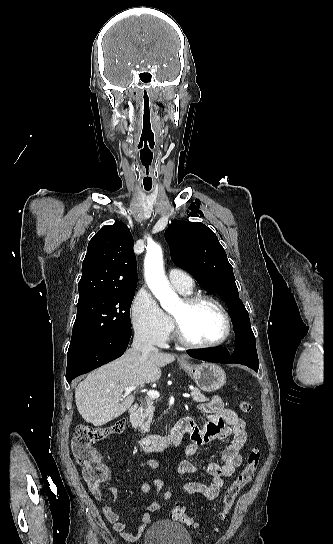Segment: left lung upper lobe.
<instances>
[{"label":"left lung upper lobe","instance_id":"obj_1","mask_svg":"<svg viewBox=\"0 0 333 544\" xmlns=\"http://www.w3.org/2000/svg\"><path fill=\"white\" fill-rule=\"evenodd\" d=\"M165 238L173 262L190 271L205 289L219 292L229 306L231 319L249 320L239 298L232 266L210 228L199 222L174 221L166 230Z\"/></svg>","mask_w":333,"mask_h":544}]
</instances>
